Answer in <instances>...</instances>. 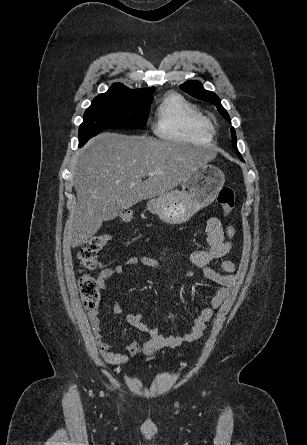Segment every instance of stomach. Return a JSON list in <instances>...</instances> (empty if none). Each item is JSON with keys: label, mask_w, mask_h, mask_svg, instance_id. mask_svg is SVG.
I'll list each match as a JSON object with an SVG mask.
<instances>
[{"label": "stomach", "mask_w": 307, "mask_h": 445, "mask_svg": "<svg viewBox=\"0 0 307 445\" xmlns=\"http://www.w3.org/2000/svg\"><path fill=\"white\" fill-rule=\"evenodd\" d=\"M225 182L224 172L214 164H200L182 182V190H170L147 200V210L163 223L181 225L215 200Z\"/></svg>", "instance_id": "1"}]
</instances>
